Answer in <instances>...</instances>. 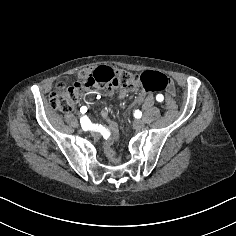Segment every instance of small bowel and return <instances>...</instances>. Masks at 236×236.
Segmentation results:
<instances>
[{"label":"small bowel","instance_id":"small-bowel-1","mask_svg":"<svg viewBox=\"0 0 236 236\" xmlns=\"http://www.w3.org/2000/svg\"><path fill=\"white\" fill-rule=\"evenodd\" d=\"M137 86V83L131 86H123L119 91V97L125 98L131 91L136 90ZM141 102L143 103L144 107H150L152 106L154 99L152 96L146 95L142 98ZM101 116L105 121V126L103 128L102 135L106 139V154L112 161H114L113 146L119 138L118 128L116 123L109 119L108 112L106 110L103 109L101 111Z\"/></svg>","mask_w":236,"mask_h":236}]
</instances>
